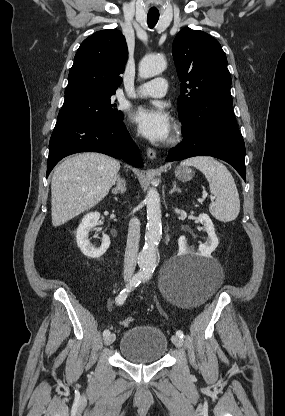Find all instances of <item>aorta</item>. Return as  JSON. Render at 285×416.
Returning a JSON list of instances; mask_svg holds the SVG:
<instances>
[{
    "label": "aorta",
    "mask_w": 285,
    "mask_h": 416,
    "mask_svg": "<svg viewBox=\"0 0 285 416\" xmlns=\"http://www.w3.org/2000/svg\"><path fill=\"white\" fill-rule=\"evenodd\" d=\"M166 65L163 57L147 55L139 64V76L144 79L154 77L162 73ZM144 201L147 208V225L145 245L139 253L138 265L140 274L151 277L158 263L157 246L162 234L160 197L154 187L149 188Z\"/></svg>",
    "instance_id": "762f6f07"
}]
</instances>
